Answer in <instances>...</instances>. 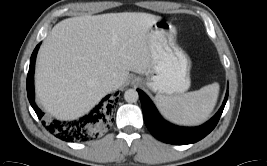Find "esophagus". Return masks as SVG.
Instances as JSON below:
<instances>
[{"label":"esophagus","instance_id":"obj_1","mask_svg":"<svg viewBox=\"0 0 267 166\" xmlns=\"http://www.w3.org/2000/svg\"><path fill=\"white\" fill-rule=\"evenodd\" d=\"M141 81L139 79H133L132 80V85H140Z\"/></svg>","mask_w":267,"mask_h":166}]
</instances>
